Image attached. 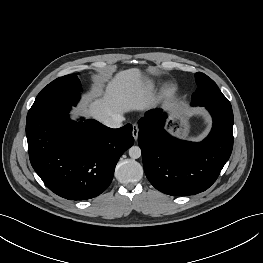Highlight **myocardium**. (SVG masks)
Returning a JSON list of instances; mask_svg holds the SVG:
<instances>
[{
  "label": "myocardium",
  "instance_id": "1",
  "mask_svg": "<svg viewBox=\"0 0 263 263\" xmlns=\"http://www.w3.org/2000/svg\"><path fill=\"white\" fill-rule=\"evenodd\" d=\"M174 92V87L173 86H169L166 90H165V94L166 95H171Z\"/></svg>",
  "mask_w": 263,
  "mask_h": 263
}]
</instances>
